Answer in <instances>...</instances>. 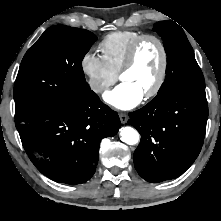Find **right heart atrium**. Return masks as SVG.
Instances as JSON below:
<instances>
[{
    "instance_id": "1",
    "label": "right heart atrium",
    "mask_w": 221,
    "mask_h": 221,
    "mask_svg": "<svg viewBox=\"0 0 221 221\" xmlns=\"http://www.w3.org/2000/svg\"><path fill=\"white\" fill-rule=\"evenodd\" d=\"M80 68L89 88L96 94L107 91L117 80V75L109 68L102 56L87 51L81 58Z\"/></svg>"
}]
</instances>
